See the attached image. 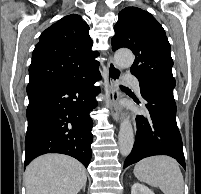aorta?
Masks as SVG:
<instances>
[{
  "instance_id": "762f6f07",
  "label": "aorta",
  "mask_w": 201,
  "mask_h": 194,
  "mask_svg": "<svg viewBox=\"0 0 201 194\" xmlns=\"http://www.w3.org/2000/svg\"><path fill=\"white\" fill-rule=\"evenodd\" d=\"M114 61L118 67L128 68L134 62V55L128 49H120L115 52ZM118 144L121 155L128 156L134 144L133 128L128 117L124 118L120 124Z\"/></svg>"
}]
</instances>
